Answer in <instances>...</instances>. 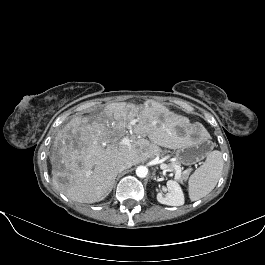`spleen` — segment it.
I'll list each match as a JSON object with an SVG mask.
<instances>
[{
    "label": "spleen",
    "instance_id": "spleen-1",
    "mask_svg": "<svg viewBox=\"0 0 265 265\" xmlns=\"http://www.w3.org/2000/svg\"><path fill=\"white\" fill-rule=\"evenodd\" d=\"M223 164L220 151L214 150L207 155L205 162L188 180V192L192 201L205 197L215 188L221 177Z\"/></svg>",
    "mask_w": 265,
    "mask_h": 265
}]
</instances>
